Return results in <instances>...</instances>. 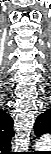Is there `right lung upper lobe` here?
Wrapping results in <instances>:
<instances>
[{"mask_svg": "<svg viewBox=\"0 0 51 154\" xmlns=\"http://www.w3.org/2000/svg\"><path fill=\"white\" fill-rule=\"evenodd\" d=\"M3 120L6 123L5 125H6V127L8 129V132L11 133L12 132V126H13L12 118L7 113L3 112ZM13 134H14V132H13Z\"/></svg>", "mask_w": 51, "mask_h": 154, "instance_id": "1", "label": "right lung upper lobe"}]
</instances>
